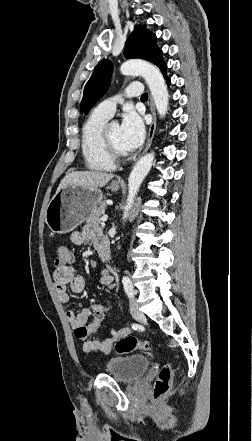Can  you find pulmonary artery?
Wrapping results in <instances>:
<instances>
[{
	"mask_svg": "<svg viewBox=\"0 0 252 441\" xmlns=\"http://www.w3.org/2000/svg\"><path fill=\"white\" fill-rule=\"evenodd\" d=\"M143 94V86L139 83L130 84L124 91L126 97H140ZM121 100L120 97H113L101 102L97 107L96 111L107 117H112L114 114L118 102Z\"/></svg>",
	"mask_w": 252,
	"mask_h": 441,
	"instance_id": "obj_1",
	"label": "pulmonary artery"
}]
</instances>
